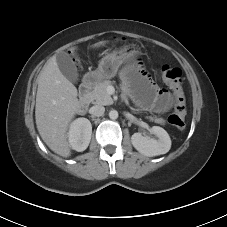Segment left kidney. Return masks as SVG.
Segmentation results:
<instances>
[{"label": "left kidney", "mask_w": 227, "mask_h": 227, "mask_svg": "<svg viewBox=\"0 0 227 227\" xmlns=\"http://www.w3.org/2000/svg\"><path fill=\"white\" fill-rule=\"evenodd\" d=\"M151 132L158 139L142 136L141 133H134L131 137L134 148L149 157L167 153L171 148V139L166 130L159 126H153Z\"/></svg>", "instance_id": "1"}]
</instances>
